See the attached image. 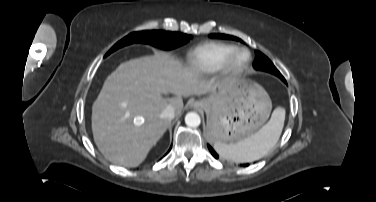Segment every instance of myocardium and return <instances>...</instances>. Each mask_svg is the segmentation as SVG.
I'll return each mask as SVG.
<instances>
[{"mask_svg":"<svg viewBox=\"0 0 376 202\" xmlns=\"http://www.w3.org/2000/svg\"><path fill=\"white\" fill-rule=\"evenodd\" d=\"M250 52L244 48H236L230 52L223 61L221 73L228 78L241 75L249 65Z\"/></svg>","mask_w":376,"mask_h":202,"instance_id":"obj_1","label":"myocardium"}]
</instances>
